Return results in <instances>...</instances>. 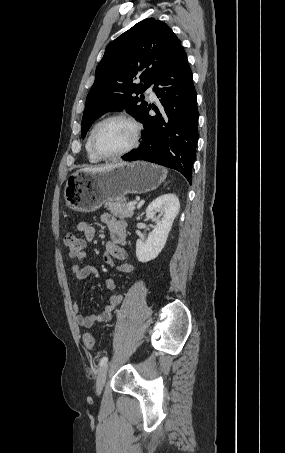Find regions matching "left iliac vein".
<instances>
[{
  "label": "left iliac vein",
  "instance_id": "obj_1",
  "mask_svg": "<svg viewBox=\"0 0 285 453\" xmlns=\"http://www.w3.org/2000/svg\"><path fill=\"white\" fill-rule=\"evenodd\" d=\"M108 370H109V364L106 363L105 365H103V367L101 368V370L99 372V375H98L97 380H96V393H97V395H100L101 392H102L103 386H104L105 381H106Z\"/></svg>",
  "mask_w": 285,
  "mask_h": 453
}]
</instances>
